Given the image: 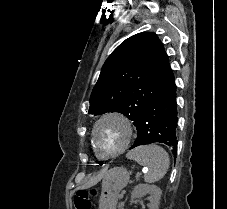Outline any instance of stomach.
<instances>
[{
  "mask_svg": "<svg viewBox=\"0 0 227 209\" xmlns=\"http://www.w3.org/2000/svg\"><path fill=\"white\" fill-rule=\"evenodd\" d=\"M128 182L129 173L123 167L108 170L102 181L99 209H116L119 192Z\"/></svg>",
  "mask_w": 227,
  "mask_h": 209,
  "instance_id": "stomach-1",
  "label": "stomach"
}]
</instances>
